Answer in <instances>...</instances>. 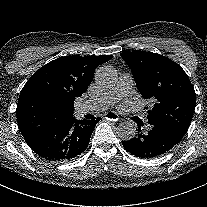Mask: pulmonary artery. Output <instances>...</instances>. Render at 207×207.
<instances>
[{
    "label": "pulmonary artery",
    "mask_w": 207,
    "mask_h": 207,
    "mask_svg": "<svg viewBox=\"0 0 207 207\" xmlns=\"http://www.w3.org/2000/svg\"><path fill=\"white\" fill-rule=\"evenodd\" d=\"M133 84V79L128 74H121L115 88L103 93L99 97L90 98L83 103L85 113L104 111L113 106L122 96L129 93Z\"/></svg>",
    "instance_id": "pulmonary-artery-1"
}]
</instances>
